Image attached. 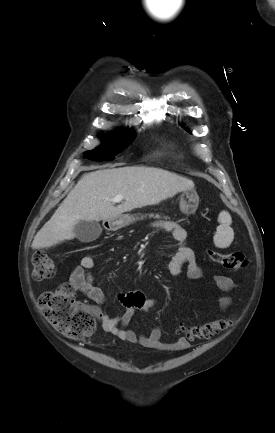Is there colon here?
Listing matches in <instances>:
<instances>
[{
  "label": "colon",
  "mask_w": 275,
  "mask_h": 433,
  "mask_svg": "<svg viewBox=\"0 0 275 433\" xmlns=\"http://www.w3.org/2000/svg\"><path fill=\"white\" fill-rule=\"evenodd\" d=\"M210 259L230 270L245 267L247 261L240 252L220 253L209 251ZM35 279H49L57 273L54 261L43 252H36L32 258ZM39 305L46 319L58 331L68 337L84 339L89 337L95 328V320L86 307L75 300V292L71 285L62 284L54 291L45 292L39 299ZM230 320L221 318L195 326H180V331L189 340H207L225 331Z\"/></svg>",
  "instance_id": "colon-1"
}]
</instances>
